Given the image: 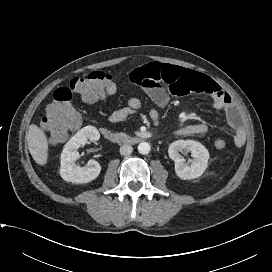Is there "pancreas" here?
I'll return each instance as SVG.
<instances>
[{
    "instance_id": "obj_1",
    "label": "pancreas",
    "mask_w": 272,
    "mask_h": 272,
    "mask_svg": "<svg viewBox=\"0 0 272 272\" xmlns=\"http://www.w3.org/2000/svg\"><path fill=\"white\" fill-rule=\"evenodd\" d=\"M117 136L118 137H120V138H127V137H129L126 133H124V132H119V133H117Z\"/></svg>"
}]
</instances>
